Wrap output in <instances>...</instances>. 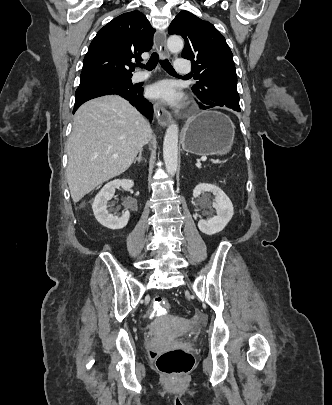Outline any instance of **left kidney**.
Instances as JSON below:
<instances>
[{
    "label": "left kidney",
    "instance_id": "obj_1",
    "mask_svg": "<svg viewBox=\"0 0 332 405\" xmlns=\"http://www.w3.org/2000/svg\"><path fill=\"white\" fill-rule=\"evenodd\" d=\"M204 192H211L215 195V202L212 204L217 215L209 220H199V230L207 235H213L222 231L231 220L234 210L231 200L218 187L212 184H198L193 190V197L196 198Z\"/></svg>",
    "mask_w": 332,
    "mask_h": 405
}]
</instances>
